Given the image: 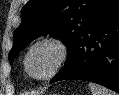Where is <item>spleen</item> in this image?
<instances>
[{"label":"spleen","mask_w":119,"mask_h":95,"mask_svg":"<svg viewBox=\"0 0 119 95\" xmlns=\"http://www.w3.org/2000/svg\"><path fill=\"white\" fill-rule=\"evenodd\" d=\"M92 95H118L117 93L95 83H89Z\"/></svg>","instance_id":"3e777b00"}]
</instances>
